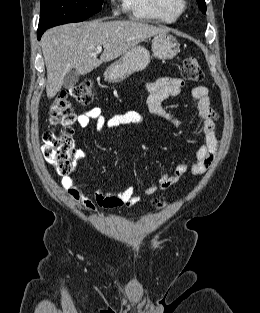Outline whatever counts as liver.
I'll use <instances>...</instances> for the list:
<instances>
[{"label": "liver", "mask_w": 260, "mask_h": 313, "mask_svg": "<svg viewBox=\"0 0 260 313\" xmlns=\"http://www.w3.org/2000/svg\"><path fill=\"white\" fill-rule=\"evenodd\" d=\"M169 31L138 21L93 20L69 23L47 30L41 48L47 69L46 93L53 98L61 89L65 75L72 69L86 75L103 62L125 54L141 41ZM103 46L98 59L94 49Z\"/></svg>", "instance_id": "6515ba94"}]
</instances>
